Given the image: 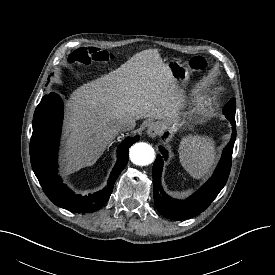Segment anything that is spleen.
Returning <instances> with one entry per match:
<instances>
[{
	"label": "spleen",
	"instance_id": "spleen-1",
	"mask_svg": "<svg viewBox=\"0 0 275 275\" xmlns=\"http://www.w3.org/2000/svg\"><path fill=\"white\" fill-rule=\"evenodd\" d=\"M179 158L185 170L200 179L210 173L216 161L214 141L208 137H186L181 141Z\"/></svg>",
	"mask_w": 275,
	"mask_h": 275
}]
</instances>
